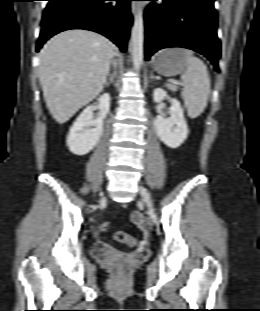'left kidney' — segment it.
I'll list each match as a JSON object with an SVG mask.
<instances>
[{
	"label": "left kidney",
	"instance_id": "5707ae66",
	"mask_svg": "<svg viewBox=\"0 0 260 311\" xmlns=\"http://www.w3.org/2000/svg\"><path fill=\"white\" fill-rule=\"evenodd\" d=\"M167 96L166 91L157 88L153 92L155 103H161ZM170 118H165L161 114L154 120V127L160 140L170 148L179 147L188 136V127L184 118L183 108L177 99L171 100Z\"/></svg>",
	"mask_w": 260,
	"mask_h": 311
}]
</instances>
